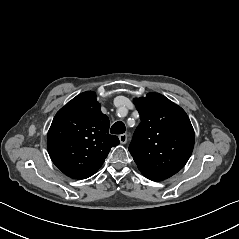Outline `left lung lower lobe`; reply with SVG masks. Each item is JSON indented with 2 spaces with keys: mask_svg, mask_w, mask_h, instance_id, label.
<instances>
[{
  "mask_svg": "<svg viewBox=\"0 0 239 239\" xmlns=\"http://www.w3.org/2000/svg\"><path fill=\"white\" fill-rule=\"evenodd\" d=\"M141 173L145 177H147L148 179L153 180V181H162V180L167 179L172 176V175H168V174L149 172V171H141Z\"/></svg>",
  "mask_w": 239,
  "mask_h": 239,
  "instance_id": "1",
  "label": "left lung lower lobe"
}]
</instances>
